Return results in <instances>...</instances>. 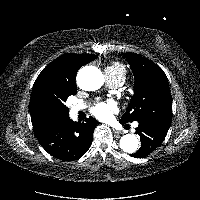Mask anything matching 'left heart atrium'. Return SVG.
<instances>
[{
	"mask_svg": "<svg viewBox=\"0 0 200 200\" xmlns=\"http://www.w3.org/2000/svg\"><path fill=\"white\" fill-rule=\"evenodd\" d=\"M116 111L117 106L115 102L110 100L97 103L92 109V114L100 120H108Z\"/></svg>",
	"mask_w": 200,
	"mask_h": 200,
	"instance_id": "39dd6f15",
	"label": "left heart atrium"
}]
</instances>
